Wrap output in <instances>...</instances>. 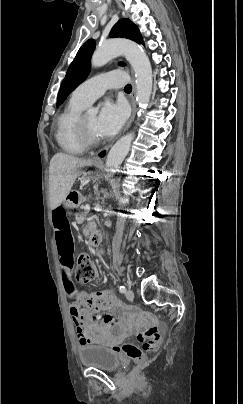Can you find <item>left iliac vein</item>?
Wrapping results in <instances>:
<instances>
[{"label": "left iliac vein", "mask_w": 243, "mask_h": 404, "mask_svg": "<svg viewBox=\"0 0 243 404\" xmlns=\"http://www.w3.org/2000/svg\"><path fill=\"white\" fill-rule=\"evenodd\" d=\"M126 297H127L129 300H131V299L134 298V293H133V291H132L131 289H128V290L126 291Z\"/></svg>", "instance_id": "1"}]
</instances>
